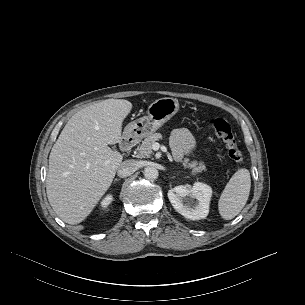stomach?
<instances>
[{
    "label": "stomach",
    "instance_id": "obj_1",
    "mask_svg": "<svg viewBox=\"0 0 305 305\" xmlns=\"http://www.w3.org/2000/svg\"><path fill=\"white\" fill-rule=\"evenodd\" d=\"M177 99L165 97L150 104L147 115L130 122L124 129L125 137L143 138L153 134L179 111Z\"/></svg>",
    "mask_w": 305,
    "mask_h": 305
}]
</instances>
